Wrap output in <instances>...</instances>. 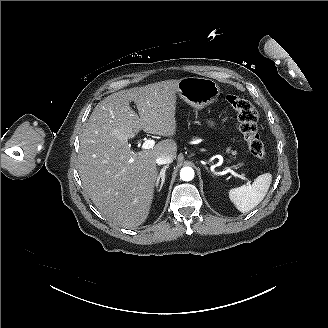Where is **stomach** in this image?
<instances>
[{
    "label": "stomach",
    "mask_w": 328,
    "mask_h": 328,
    "mask_svg": "<svg viewBox=\"0 0 328 328\" xmlns=\"http://www.w3.org/2000/svg\"><path fill=\"white\" fill-rule=\"evenodd\" d=\"M179 94L191 107L202 110L218 99L220 87L208 78L188 77L179 81Z\"/></svg>",
    "instance_id": "obj_1"
}]
</instances>
